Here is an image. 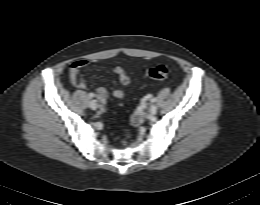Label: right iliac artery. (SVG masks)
<instances>
[{"instance_id":"right-iliac-artery-1","label":"right iliac artery","mask_w":260,"mask_h":205,"mask_svg":"<svg viewBox=\"0 0 260 205\" xmlns=\"http://www.w3.org/2000/svg\"><path fill=\"white\" fill-rule=\"evenodd\" d=\"M95 95L93 93H90V97H94Z\"/></svg>"}]
</instances>
